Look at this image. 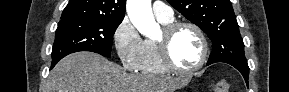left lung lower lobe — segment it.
<instances>
[{"label":"left lung lower lobe","mask_w":289,"mask_h":92,"mask_svg":"<svg viewBox=\"0 0 289 92\" xmlns=\"http://www.w3.org/2000/svg\"><path fill=\"white\" fill-rule=\"evenodd\" d=\"M219 62H224V63H228L230 65H232L233 67H235L238 71H240V73L243 75L246 84L248 86V75H249V67L247 62H237V61H219ZM212 63H207V65H210Z\"/></svg>","instance_id":"0a47b994"}]
</instances>
